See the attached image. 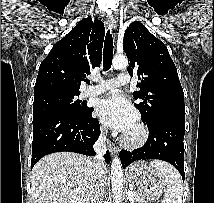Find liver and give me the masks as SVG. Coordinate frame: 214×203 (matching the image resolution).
<instances>
[{"label": "liver", "instance_id": "1", "mask_svg": "<svg viewBox=\"0 0 214 203\" xmlns=\"http://www.w3.org/2000/svg\"><path fill=\"white\" fill-rule=\"evenodd\" d=\"M33 203H90L87 158L72 152L45 156L31 172Z\"/></svg>", "mask_w": 214, "mask_h": 203}]
</instances>
